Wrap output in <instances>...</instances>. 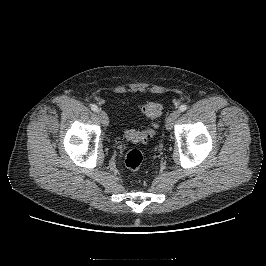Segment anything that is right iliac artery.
<instances>
[{"label": "right iliac artery", "instance_id": "82829eb1", "mask_svg": "<svg viewBox=\"0 0 266 266\" xmlns=\"http://www.w3.org/2000/svg\"><path fill=\"white\" fill-rule=\"evenodd\" d=\"M91 109H92L94 112H97V111H98V107H97L95 104H92V105H91Z\"/></svg>", "mask_w": 266, "mask_h": 266}]
</instances>
